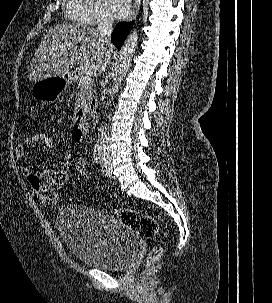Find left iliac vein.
I'll return each instance as SVG.
<instances>
[{
    "label": "left iliac vein",
    "mask_w": 272,
    "mask_h": 303,
    "mask_svg": "<svg viewBox=\"0 0 272 303\" xmlns=\"http://www.w3.org/2000/svg\"><path fill=\"white\" fill-rule=\"evenodd\" d=\"M101 166L104 175L107 177H111L112 173H111V165L109 159L103 158Z\"/></svg>",
    "instance_id": "1"
}]
</instances>
